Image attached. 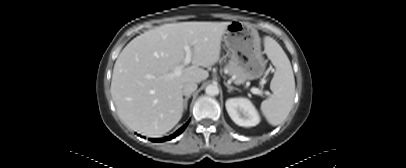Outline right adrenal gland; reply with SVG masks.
I'll list each match as a JSON object with an SVG mask.
<instances>
[{"mask_svg":"<svg viewBox=\"0 0 406 168\" xmlns=\"http://www.w3.org/2000/svg\"><path fill=\"white\" fill-rule=\"evenodd\" d=\"M190 97H191V95H188V96H186L185 99L183 100V107H184V110H185V111L187 110V107H188V100H189Z\"/></svg>","mask_w":406,"mask_h":168,"instance_id":"2a0ac1e0","label":"right adrenal gland"}]
</instances>
